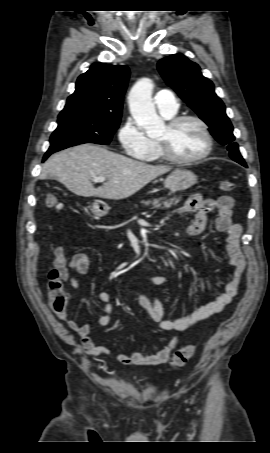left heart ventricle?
<instances>
[{"label": "left heart ventricle", "instance_id": "1", "mask_svg": "<svg viewBox=\"0 0 270 453\" xmlns=\"http://www.w3.org/2000/svg\"><path fill=\"white\" fill-rule=\"evenodd\" d=\"M158 140H168L172 152L181 158L195 157L206 146L201 127L192 121L184 122L172 131L165 126Z\"/></svg>", "mask_w": 270, "mask_h": 453}]
</instances>
